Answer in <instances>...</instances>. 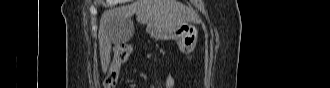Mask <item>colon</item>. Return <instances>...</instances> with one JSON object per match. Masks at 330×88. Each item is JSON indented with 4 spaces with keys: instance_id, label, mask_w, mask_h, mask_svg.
<instances>
[{
    "instance_id": "obj_1",
    "label": "colon",
    "mask_w": 330,
    "mask_h": 88,
    "mask_svg": "<svg viewBox=\"0 0 330 88\" xmlns=\"http://www.w3.org/2000/svg\"><path fill=\"white\" fill-rule=\"evenodd\" d=\"M125 46L129 47V51H131V46L130 45H126L123 44ZM120 47V46H119ZM115 51L114 53V60L110 66V70L105 78L104 81V87L105 88H112L115 87L118 77H119V73H120V68L121 66L127 61L128 56H122L120 55V53L118 52V49Z\"/></svg>"
}]
</instances>
